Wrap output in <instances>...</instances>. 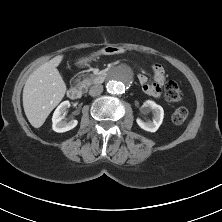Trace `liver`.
<instances>
[{
    "label": "liver",
    "instance_id": "obj_1",
    "mask_svg": "<svg viewBox=\"0 0 222 222\" xmlns=\"http://www.w3.org/2000/svg\"><path fill=\"white\" fill-rule=\"evenodd\" d=\"M63 55H58L37 68L27 79L23 89V108L30 124L39 128L66 92L57 66Z\"/></svg>",
    "mask_w": 222,
    "mask_h": 222
}]
</instances>
